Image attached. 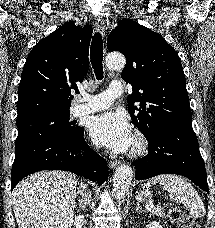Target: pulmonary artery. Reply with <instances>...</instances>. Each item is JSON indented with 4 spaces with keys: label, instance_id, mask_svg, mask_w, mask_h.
I'll return each mask as SVG.
<instances>
[{
    "label": "pulmonary artery",
    "instance_id": "1",
    "mask_svg": "<svg viewBox=\"0 0 215 228\" xmlns=\"http://www.w3.org/2000/svg\"><path fill=\"white\" fill-rule=\"evenodd\" d=\"M106 88L109 90L98 95H79L71 109V115L78 117L107 109L113 104L114 99L124 92L123 84H107Z\"/></svg>",
    "mask_w": 215,
    "mask_h": 228
}]
</instances>
